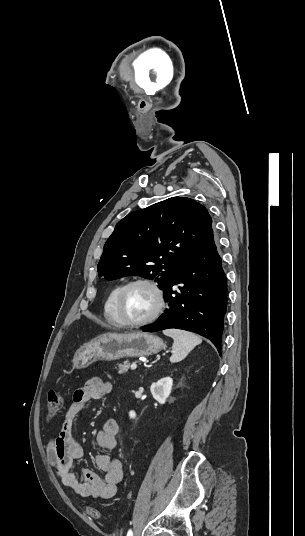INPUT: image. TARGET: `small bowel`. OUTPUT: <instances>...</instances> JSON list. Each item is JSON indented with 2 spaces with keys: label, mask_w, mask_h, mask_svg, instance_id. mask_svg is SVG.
<instances>
[{
  "label": "small bowel",
  "mask_w": 305,
  "mask_h": 536,
  "mask_svg": "<svg viewBox=\"0 0 305 536\" xmlns=\"http://www.w3.org/2000/svg\"><path fill=\"white\" fill-rule=\"evenodd\" d=\"M111 392V385L98 377L85 382L73 394V400L63 416L61 429L53 436L46 447L47 459L62 484L81 497L107 500L115 496L117 487L123 479L121 462L111 455L117 445L118 423L114 418L107 419L103 428L96 434V443L102 454L96 457L97 467L104 473L98 474L83 470L81 479L70 471L75 460L83 456V447L75 435L76 420L91 400L101 399Z\"/></svg>",
  "instance_id": "obj_1"
}]
</instances>
